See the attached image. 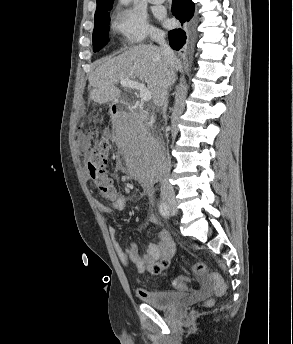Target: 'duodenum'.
<instances>
[{
	"label": "duodenum",
	"mask_w": 293,
	"mask_h": 344,
	"mask_svg": "<svg viewBox=\"0 0 293 344\" xmlns=\"http://www.w3.org/2000/svg\"><path fill=\"white\" fill-rule=\"evenodd\" d=\"M122 110H123V108H121V109H119V110H117V111H114V112L112 113V116H113V117H116V116L119 114V112L122 111Z\"/></svg>",
	"instance_id": "duodenum-1"
}]
</instances>
